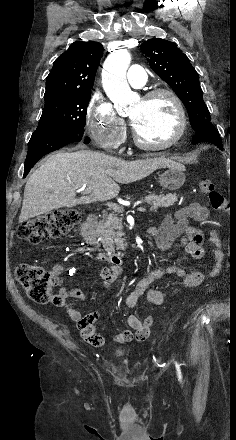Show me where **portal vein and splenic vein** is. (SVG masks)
<instances>
[{"instance_id": "18ae733b", "label": "portal vein and splenic vein", "mask_w": 236, "mask_h": 440, "mask_svg": "<svg viewBox=\"0 0 236 440\" xmlns=\"http://www.w3.org/2000/svg\"><path fill=\"white\" fill-rule=\"evenodd\" d=\"M87 192H90V191H85V193H87ZM107 206L110 207L111 209H113L114 211H119V212L122 211V208L119 205H117L116 203L108 202ZM137 210L140 211V212H145L146 208L138 207Z\"/></svg>"}]
</instances>
